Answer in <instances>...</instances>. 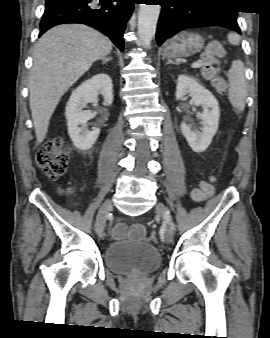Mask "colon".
<instances>
[{
  "label": "colon",
  "mask_w": 270,
  "mask_h": 338,
  "mask_svg": "<svg viewBox=\"0 0 270 338\" xmlns=\"http://www.w3.org/2000/svg\"><path fill=\"white\" fill-rule=\"evenodd\" d=\"M225 56L224 45L214 42L208 44L203 53L202 60L204 66L202 68L204 75L212 78L214 87L217 90H222L224 86L223 80L218 74L217 62ZM37 162L50 180H56L65 175L68 167L69 151L63 145L62 141L55 140L45 142L37 152ZM213 180L201 182L198 189L193 192V198L196 201H202L210 196L214 191ZM66 191L63 190V193ZM150 240L157 241V237L152 235Z\"/></svg>",
  "instance_id": "obj_1"
}]
</instances>
